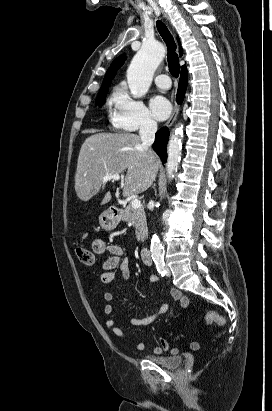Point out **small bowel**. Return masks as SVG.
Instances as JSON below:
<instances>
[{
    "label": "small bowel",
    "instance_id": "obj_1",
    "mask_svg": "<svg viewBox=\"0 0 272 411\" xmlns=\"http://www.w3.org/2000/svg\"><path fill=\"white\" fill-rule=\"evenodd\" d=\"M92 248L97 254L108 253L109 257L103 262L102 268L103 273L101 274L100 280L103 286L109 285L114 281L115 269L119 270L120 276L123 280H127L130 277L131 267L128 258L125 256L123 248L114 243H107L103 239H95L92 244ZM149 282L157 283L159 278L157 276H150ZM169 296L177 301L182 308H187L189 306V300L185 297L179 290L170 289L168 291ZM103 298L106 302L103 312L106 316L105 326L118 338L125 339L126 335L124 331L117 326L115 321L111 318L113 313V300L114 296L111 292L105 291L103 293ZM169 310V304L164 303L157 312L150 314L146 317L137 318L131 317L129 322L133 326H146L155 322L161 315L167 313ZM200 347L199 341H192L190 343V349L195 351ZM136 349L143 351L145 349V343L143 341H137ZM153 352L155 354H162L163 352H168L170 354L176 355L179 353V349L170 346L165 338H161L160 345L154 347Z\"/></svg>",
    "mask_w": 272,
    "mask_h": 411
}]
</instances>
